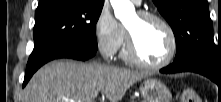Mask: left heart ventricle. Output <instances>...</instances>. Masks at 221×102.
Wrapping results in <instances>:
<instances>
[{
    "instance_id": "obj_1",
    "label": "left heart ventricle",
    "mask_w": 221,
    "mask_h": 102,
    "mask_svg": "<svg viewBox=\"0 0 221 102\" xmlns=\"http://www.w3.org/2000/svg\"><path fill=\"white\" fill-rule=\"evenodd\" d=\"M126 28L131 32L137 51L145 61L158 63L168 56L170 38L160 23L144 21L135 15Z\"/></svg>"
}]
</instances>
